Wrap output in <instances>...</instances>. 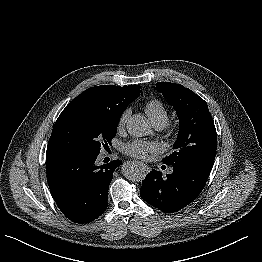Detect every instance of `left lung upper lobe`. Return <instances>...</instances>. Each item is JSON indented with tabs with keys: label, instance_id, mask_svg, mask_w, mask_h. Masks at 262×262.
Here are the masks:
<instances>
[{
	"label": "left lung upper lobe",
	"instance_id": "5c2ea615",
	"mask_svg": "<svg viewBox=\"0 0 262 262\" xmlns=\"http://www.w3.org/2000/svg\"><path fill=\"white\" fill-rule=\"evenodd\" d=\"M155 89L174 107L179 118L175 151L163 162L173 168L210 172L216 155L217 134L207 103L180 84L158 82Z\"/></svg>",
	"mask_w": 262,
	"mask_h": 262
}]
</instances>
